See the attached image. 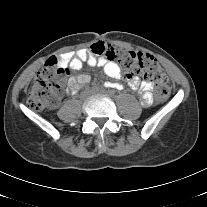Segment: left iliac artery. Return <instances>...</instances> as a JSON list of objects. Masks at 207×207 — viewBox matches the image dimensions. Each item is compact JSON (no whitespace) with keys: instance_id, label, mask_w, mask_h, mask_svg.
Returning a JSON list of instances; mask_svg holds the SVG:
<instances>
[{"instance_id":"1","label":"left iliac artery","mask_w":207,"mask_h":207,"mask_svg":"<svg viewBox=\"0 0 207 207\" xmlns=\"http://www.w3.org/2000/svg\"><path fill=\"white\" fill-rule=\"evenodd\" d=\"M111 87L116 88L118 90H122L124 88L123 85L118 84V83L112 84Z\"/></svg>"}]
</instances>
